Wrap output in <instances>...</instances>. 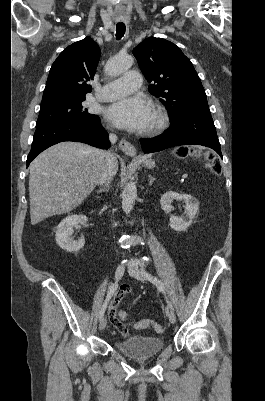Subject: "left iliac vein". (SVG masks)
<instances>
[{"label":"left iliac vein","mask_w":265,"mask_h":401,"mask_svg":"<svg viewBox=\"0 0 265 401\" xmlns=\"http://www.w3.org/2000/svg\"><path fill=\"white\" fill-rule=\"evenodd\" d=\"M129 274L132 277H134L135 279H138L143 282L148 280V278L142 274V271H140L139 268L135 264L130 265ZM168 318H169L170 323H172V324L176 323V316H175V313L173 312V310H168Z\"/></svg>","instance_id":"obj_1"}]
</instances>
